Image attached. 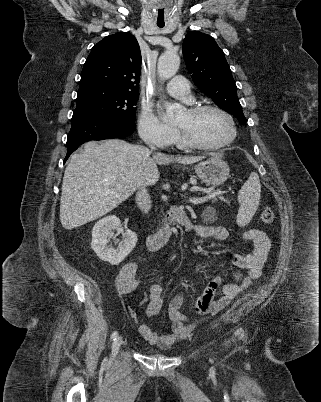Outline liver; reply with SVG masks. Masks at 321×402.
<instances>
[{"label":"liver","instance_id":"obj_1","mask_svg":"<svg viewBox=\"0 0 321 402\" xmlns=\"http://www.w3.org/2000/svg\"><path fill=\"white\" fill-rule=\"evenodd\" d=\"M120 139L85 143L72 155L63 177L60 221L71 230L112 211L141 187L159 179L157 165L192 164L202 157L153 153Z\"/></svg>","mask_w":321,"mask_h":402}]
</instances>
